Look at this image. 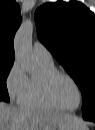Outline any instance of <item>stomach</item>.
<instances>
[{"instance_id": "obj_1", "label": "stomach", "mask_w": 95, "mask_h": 130, "mask_svg": "<svg viewBox=\"0 0 95 130\" xmlns=\"http://www.w3.org/2000/svg\"><path fill=\"white\" fill-rule=\"evenodd\" d=\"M57 130H88L84 123L77 118L62 122L58 125Z\"/></svg>"}]
</instances>
